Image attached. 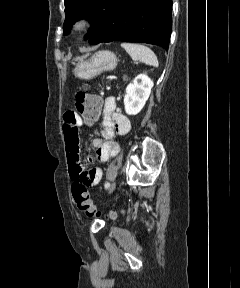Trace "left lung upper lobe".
I'll list each match as a JSON object with an SVG mask.
<instances>
[{
  "label": "left lung upper lobe",
  "mask_w": 240,
  "mask_h": 288,
  "mask_svg": "<svg viewBox=\"0 0 240 288\" xmlns=\"http://www.w3.org/2000/svg\"><path fill=\"white\" fill-rule=\"evenodd\" d=\"M110 0H64L66 19L63 25L64 34H69L71 26L80 19H90L92 27L86 39L94 33L102 21Z\"/></svg>",
  "instance_id": "1"
}]
</instances>
